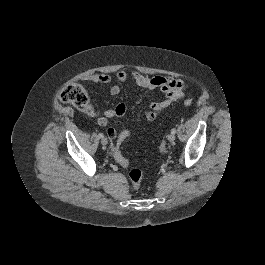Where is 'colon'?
<instances>
[{
	"instance_id": "5ec220e1",
	"label": "colon",
	"mask_w": 265,
	"mask_h": 265,
	"mask_svg": "<svg viewBox=\"0 0 265 265\" xmlns=\"http://www.w3.org/2000/svg\"><path fill=\"white\" fill-rule=\"evenodd\" d=\"M59 99L64 103L74 106L85 114H94L85 89L78 83H70L65 85L59 92ZM191 104V99L184 100L185 106H190ZM107 133L113 140L111 151L115 160L121 166L127 167L129 165V162L121 152V145L124 140L130 135V131L124 130L120 134H117V132L109 128ZM143 176L144 172L139 168H133L130 170L129 179L134 189H138L140 187Z\"/></svg>"
}]
</instances>
